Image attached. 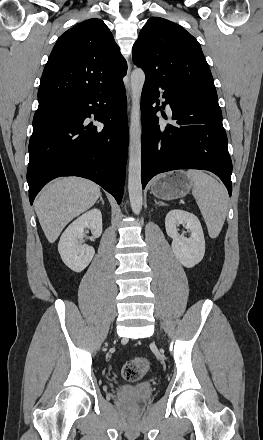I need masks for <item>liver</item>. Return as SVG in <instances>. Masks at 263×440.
<instances>
[{
    "label": "liver",
    "mask_w": 263,
    "mask_h": 440,
    "mask_svg": "<svg viewBox=\"0 0 263 440\" xmlns=\"http://www.w3.org/2000/svg\"><path fill=\"white\" fill-rule=\"evenodd\" d=\"M101 196L100 187L79 177H64L47 185L35 201V211L47 240L54 243L63 228L92 207Z\"/></svg>",
    "instance_id": "1"
}]
</instances>
